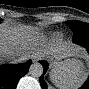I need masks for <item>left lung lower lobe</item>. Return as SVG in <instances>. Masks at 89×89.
Segmentation results:
<instances>
[{"label": "left lung lower lobe", "mask_w": 89, "mask_h": 89, "mask_svg": "<svg viewBox=\"0 0 89 89\" xmlns=\"http://www.w3.org/2000/svg\"><path fill=\"white\" fill-rule=\"evenodd\" d=\"M73 41L84 46L89 51V33L87 32L75 33L73 36ZM40 63H42L43 65L44 68L43 74H45L48 69V63L46 61H41ZM39 81L42 88L47 87L46 83L43 80V75L40 77ZM88 88H89V80H87L86 83L80 89H88Z\"/></svg>", "instance_id": "0a47b994"}]
</instances>
